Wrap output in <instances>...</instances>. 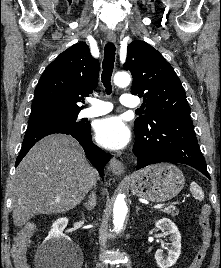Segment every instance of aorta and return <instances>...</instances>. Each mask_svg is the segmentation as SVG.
<instances>
[{"label":"aorta","mask_w":221,"mask_h":268,"mask_svg":"<svg viewBox=\"0 0 221 268\" xmlns=\"http://www.w3.org/2000/svg\"><path fill=\"white\" fill-rule=\"evenodd\" d=\"M131 82V76L126 72L116 73L114 76V83L118 87H126ZM127 214V205L123 194L116 197L113 209V224L116 232L120 231L124 225Z\"/></svg>","instance_id":"1"}]
</instances>
